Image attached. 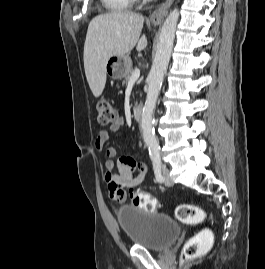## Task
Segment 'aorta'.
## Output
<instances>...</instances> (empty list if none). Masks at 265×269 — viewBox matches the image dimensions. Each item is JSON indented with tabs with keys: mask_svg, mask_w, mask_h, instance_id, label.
I'll use <instances>...</instances> for the list:
<instances>
[{
	"mask_svg": "<svg viewBox=\"0 0 265 269\" xmlns=\"http://www.w3.org/2000/svg\"><path fill=\"white\" fill-rule=\"evenodd\" d=\"M178 19L179 10L175 8L169 13L162 26L157 50L148 75V91L141 116V130L143 140L152 158L160 157V146L153 129L154 109L171 58Z\"/></svg>",
	"mask_w": 265,
	"mask_h": 269,
	"instance_id": "obj_1",
	"label": "aorta"
}]
</instances>
